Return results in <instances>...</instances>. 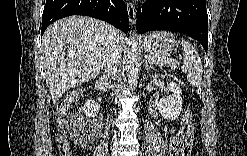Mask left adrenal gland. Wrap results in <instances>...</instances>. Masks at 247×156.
Masks as SVG:
<instances>
[{"instance_id":"a2214340","label":"left adrenal gland","mask_w":247,"mask_h":156,"mask_svg":"<svg viewBox=\"0 0 247 156\" xmlns=\"http://www.w3.org/2000/svg\"><path fill=\"white\" fill-rule=\"evenodd\" d=\"M143 61H144V67H145L146 70L153 68L152 65H149L147 59H144Z\"/></svg>"}]
</instances>
